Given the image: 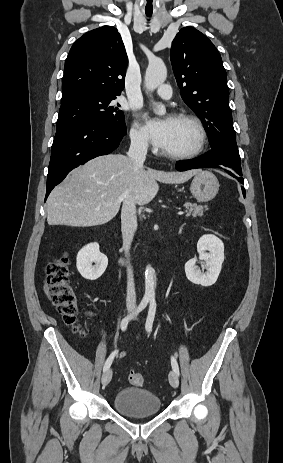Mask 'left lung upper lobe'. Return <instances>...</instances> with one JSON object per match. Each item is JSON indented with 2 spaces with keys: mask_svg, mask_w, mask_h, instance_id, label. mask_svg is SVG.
<instances>
[{
  "mask_svg": "<svg viewBox=\"0 0 283 463\" xmlns=\"http://www.w3.org/2000/svg\"><path fill=\"white\" fill-rule=\"evenodd\" d=\"M170 58L181 96L202 120L211 149L240 159L226 71L216 47L200 31L188 26L173 40Z\"/></svg>",
  "mask_w": 283,
  "mask_h": 463,
  "instance_id": "5c2ea615",
  "label": "left lung upper lobe"
}]
</instances>
